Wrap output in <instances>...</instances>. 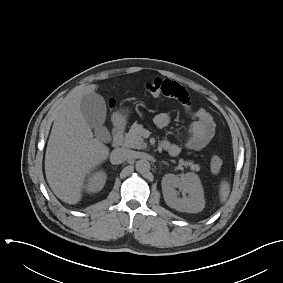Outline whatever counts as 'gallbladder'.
<instances>
[{
	"instance_id": "gallbladder-1",
	"label": "gallbladder",
	"mask_w": 283,
	"mask_h": 283,
	"mask_svg": "<svg viewBox=\"0 0 283 283\" xmlns=\"http://www.w3.org/2000/svg\"><path fill=\"white\" fill-rule=\"evenodd\" d=\"M80 109L88 125L94 129L95 136L108 142L110 135L104 126L107 112L104 98L97 93L86 94L81 99Z\"/></svg>"
}]
</instances>
